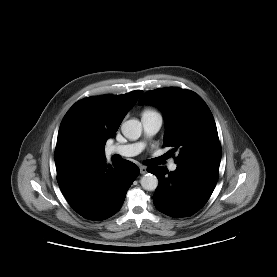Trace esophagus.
Listing matches in <instances>:
<instances>
[{"instance_id": "esophagus-1", "label": "esophagus", "mask_w": 277, "mask_h": 277, "mask_svg": "<svg viewBox=\"0 0 277 277\" xmlns=\"http://www.w3.org/2000/svg\"><path fill=\"white\" fill-rule=\"evenodd\" d=\"M140 173L146 174L147 173V167L146 166H140Z\"/></svg>"}]
</instances>
